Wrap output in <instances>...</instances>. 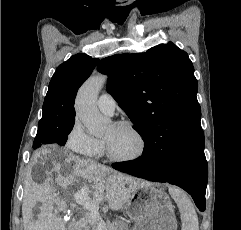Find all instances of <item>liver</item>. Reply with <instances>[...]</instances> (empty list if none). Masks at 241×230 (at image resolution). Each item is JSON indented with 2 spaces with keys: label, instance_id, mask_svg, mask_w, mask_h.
I'll return each instance as SVG.
<instances>
[{
  "label": "liver",
  "instance_id": "obj_1",
  "mask_svg": "<svg viewBox=\"0 0 241 230\" xmlns=\"http://www.w3.org/2000/svg\"><path fill=\"white\" fill-rule=\"evenodd\" d=\"M50 153V150L43 148L33 154L32 166L39 164L44 169L46 179L38 184L29 175L25 181L22 202L24 230H66L65 222L54 207L55 204L58 207L62 205L63 208L66 205L58 197L56 188L50 185L53 175H56L55 183L64 190L80 184H82L81 190L89 191L90 187L94 200L102 198L105 190L108 205L112 210L121 209L141 182L72 153L64 152L58 160L53 155L49 159L47 154ZM38 202L41 203L40 212L34 220L33 208Z\"/></svg>",
  "mask_w": 241,
  "mask_h": 230
}]
</instances>
